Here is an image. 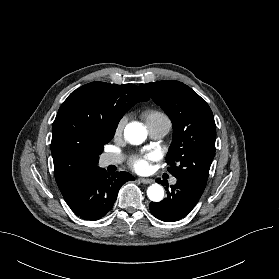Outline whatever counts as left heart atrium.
Returning <instances> with one entry per match:
<instances>
[{
	"label": "left heart atrium",
	"instance_id": "39dd6f15",
	"mask_svg": "<svg viewBox=\"0 0 279 279\" xmlns=\"http://www.w3.org/2000/svg\"><path fill=\"white\" fill-rule=\"evenodd\" d=\"M158 158V155L154 152L146 154L141 157L135 158L131 165L139 173H145L149 170L150 162Z\"/></svg>",
	"mask_w": 279,
	"mask_h": 279
}]
</instances>
